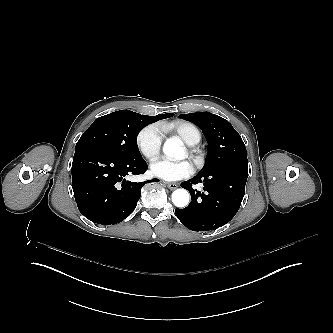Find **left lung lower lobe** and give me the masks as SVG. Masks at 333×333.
Returning <instances> with one entry per match:
<instances>
[{"instance_id":"obj_1","label":"left lung lower lobe","mask_w":333,"mask_h":333,"mask_svg":"<svg viewBox=\"0 0 333 333\" xmlns=\"http://www.w3.org/2000/svg\"><path fill=\"white\" fill-rule=\"evenodd\" d=\"M248 163H232L220 167L209 176L196 175L181 187L191 194V202L184 209H175L177 218L188 229L208 231L228 223L237 213L245 194ZM202 183L204 193L192 188Z\"/></svg>"}]
</instances>
